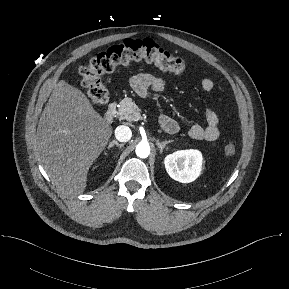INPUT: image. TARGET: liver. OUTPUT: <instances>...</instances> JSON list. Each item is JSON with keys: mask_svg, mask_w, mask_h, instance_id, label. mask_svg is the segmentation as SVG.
<instances>
[{"mask_svg": "<svg viewBox=\"0 0 289 289\" xmlns=\"http://www.w3.org/2000/svg\"><path fill=\"white\" fill-rule=\"evenodd\" d=\"M112 131L81 90L60 80L40 116L35 147L51 182L67 195L83 193Z\"/></svg>", "mask_w": 289, "mask_h": 289, "instance_id": "liver-1", "label": "liver"}]
</instances>
